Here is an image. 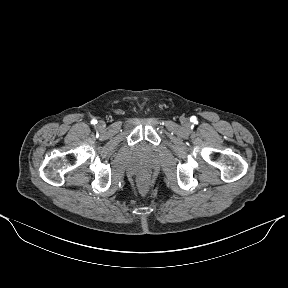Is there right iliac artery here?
I'll return each instance as SVG.
<instances>
[{
    "label": "right iliac artery",
    "mask_w": 288,
    "mask_h": 288,
    "mask_svg": "<svg viewBox=\"0 0 288 288\" xmlns=\"http://www.w3.org/2000/svg\"><path fill=\"white\" fill-rule=\"evenodd\" d=\"M97 123V120L96 119H93L92 121H91V124H96Z\"/></svg>",
    "instance_id": "right-iliac-artery-1"
}]
</instances>
